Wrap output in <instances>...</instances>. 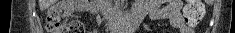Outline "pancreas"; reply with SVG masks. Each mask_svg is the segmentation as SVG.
I'll return each instance as SVG.
<instances>
[{
  "mask_svg": "<svg viewBox=\"0 0 235 33\" xmlns=\"http://www.w3.org/2000/svg\"><path fill=\"white\" fill-rule=\"evenodd\" d=\"M108 1H109V0H101V4H103L104 6H106L107 3H108Z\"/></svg>",
  "mask_w": 235,
  "mask_h": 33,
  "instance_id": "obj_1",
  "label": "pancreas"
}]
</instances>
